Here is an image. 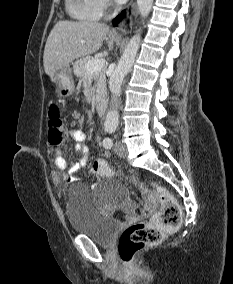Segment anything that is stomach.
I'll return each instance as SVG.
<instances>
[{
  "instance_id": "0dacf381",
  "label": "stomach",
  "mask_w": 233,
  "mask_h": 284,
  "mask_svg": "<svg viewBox=\"0 0 233 284\" xmlns=\"http://www.w3.org/2000/svg\"><path fill=\"white\" fill-rule=\"evenodd\" d=\"M51 81L56 85V92L60 97H69L74 91V80L70 65L50 76Z\"/></svg>"
}]
</instances>
